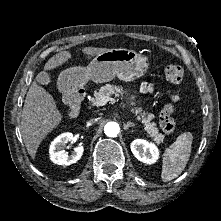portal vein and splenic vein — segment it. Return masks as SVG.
<instances>
[{
    "mask_svg": "<svg viewBox=\"0 0 221 221\" xmlns=\"http://www.w3.org/2000/svg\"><path fill=\"white\" fill-rule=\"evenodd\" d=\"M109 101L116 102V100L111 98L110 96H102L101 98H99L97 100L96 105L97 106H104Z\"/></svg>",
    "mask_w": 221,
    "mask_h": 221,
    "instance_id": "1",
    "label": "portal vein and splenic vein"
}]
</instances>
